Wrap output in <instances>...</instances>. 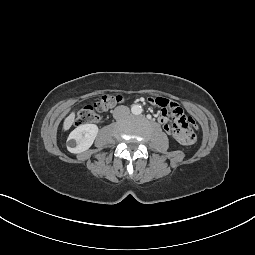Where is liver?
<instances>
[{
	"mask_svg": "<svg viewBox=\"0 0 255 255\" xmlns=\"http://www.w3.org/2000/svg\"><path fill=\"white\" fill-rule=\"evenodd\" d=\"M74 119H75V113L71 112L69 116H67L64 120V123H63L64 131H67L72 126V124L74 123Z\"/></svg>",
	"mask_w": 255,
	"mask_h": 255,
	"instance_id": "obj_1",
	"label": "liver"
}]
</instances>
